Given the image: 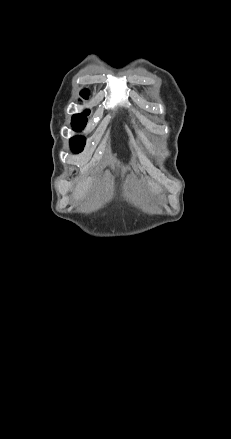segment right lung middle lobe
I'll use <instances>...</instances> for the list:
<instances>
[{"instance_id": "obj_1", "label": "right lung middle lobe", "mask_w": 231, "mask_h": 439, "mask_svg": "<svg viewBox=\"0 0 231 439\" xmlns=\"http://www.w3.org/2000/svg\"><path fill=\"white\" fill-rule=\"evenodd\" d=\"M86 115H74L72 119V126L77 131L83 129L87 123ZM86 139L83 136H75L70 139L71 149L74 153H79L83 150Z\"/></svg>"}]
</instances>
